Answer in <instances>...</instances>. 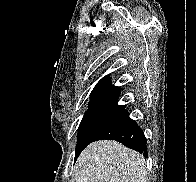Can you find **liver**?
<instances>
[{
	"label": "liver",
	"instance_id": "obj_1",
	"mask_svg": "<svg viewBox=\"0 0 196 182\" xmlns=\"http://www.w3.org/2000/svg\"><path fill=\"white\" fill-rule=\"evenodd\" d=\"M74 175L76 182H147L143 156L111 140L87 146L77 160Z\"/></svg>",
	"mask_w": 196,
	"mask_h": 182
}]
</instances>
